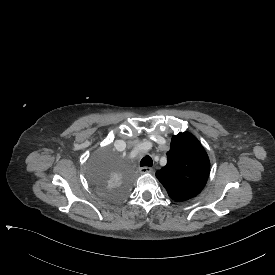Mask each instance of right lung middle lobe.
<instances>
[{
	"instance_id": "obj_1",
	"label": "right lung middle lobe",
	"mask_w": 275,
	"mask_h": 275,
	"mask_svg": "<svg viewBox=\"0 0 275 275\" xmlns=\"http://www.w3.org/2000/svg\"><path fill=\"white\" fill-rule=\"evenodd\" d=\"M93 156L88 168L92 187L102 201L118 202L133 187V174L125 156L116 148L105 144L96 146Z\"/></svg>"
}]
</instances>
